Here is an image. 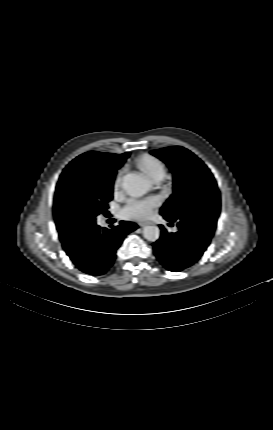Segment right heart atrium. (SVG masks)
<instances>
[{"instance_id": "obj_1", "label": "right heart atrium", "mask_w": 273, "mask_h": 430, "mask_svg": "<svg viewBox=\"0 0 273 430\" xmlns=\"http://www.w3.org/2000/svg\"><path fill=\"white\" fill-rule=\"evenodd\" d=\"M122 172H119L115 179V188H118L121 183Z\"/></svg>"}]
</instances>
